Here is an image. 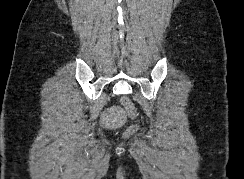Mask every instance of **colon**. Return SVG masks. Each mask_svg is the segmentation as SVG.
I'll use <instances>...</instances> for the list:
<instances>
[{
    "instance_id": "1",
    "label": "colon",
    "mask_w": 244,
    "mask_h": 179,
    "mask_svg": "<svg viewBox=\"0 0 244 179\" xmlns=\"http://www.w3.org/2000/svg\"><path fill=\"white\" fill-rule=\"evenodd\" d=\"M120 100L122 104H124V107L127 108L128 115H133L134 120L138 121L140 117V112L138 110V107H133V102H131V99H127L126 96H121ZM139 125H129V128H127V132L125 134L126 138H132V133H139Z\"/></svg>"
}]
</instances>
